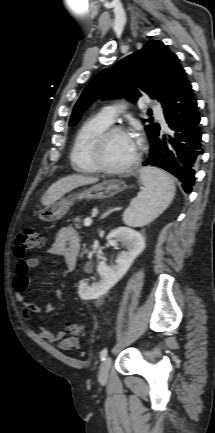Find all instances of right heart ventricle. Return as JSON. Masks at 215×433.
<instances>
[{
  "label": "right heart ventricle",
  "mask_w": 215,
  "mask_h": 433,
  "mask_svg": "<svg viewBox=\"0 0 215 433\" xmlns=\"http://www.w3.org/2000/svg\"><path fill=\"white\" fill-rule=\"evenodd\" d=\"M110 125L111 122L101 114L94 115L83 123L75 136L70 152V161L74 170L81 173L97 171L90 158L91 144L95 137Z\"/></svg>",
  "instance_id": "obj_1"
}]
</instances>
